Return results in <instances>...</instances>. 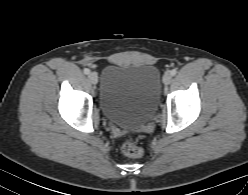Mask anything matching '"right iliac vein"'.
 Masks as SVG:
<instances>
[{
    "mask_svg": "<svg viewBox=\"0 0 248 195\" xmlns=\"http://www.w3.org/2000/svg\"><path fill=\"white\" fill-rule=\"evenodd\" d=\"M88 78L92 84H96L98 82V75L95 72L89 73Z\"/></svg>",
    "mask_w": 248,
    "mask_h": 195,
    "instance_id": "obj_1",
    "label": "right iliac vein"
}]
</instances>
